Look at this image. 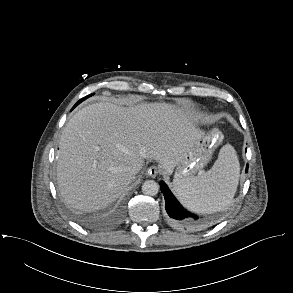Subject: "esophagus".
Segmentation results:
<instances>
[{"label": "esophagus", "instance_id": "esophagus-1", "mask_svg": "<svg viewBox=\"0 0 293 293\" xmlns=\"http://www.w3.org/2000/svg\"><path fill=\"white\" fill-rule=\"evenodd\" d=\"M159 168L157 166H151L148 170H147V174L149 176H151L152 178H155L158 173H159Z\"/></svg>", "mask_w": 293, "mask_h": 293}]
</instances>
